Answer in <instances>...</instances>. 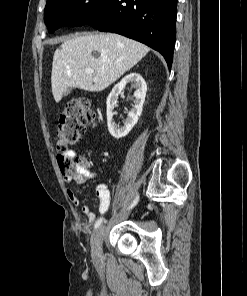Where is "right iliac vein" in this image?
<instances>
[{
  "label": "right iliac vein",
  "instance_id": "63e3f726",
  "mask_svg": "<svg viewBox=\"0 0 247 296\" xmlns=\"http://www.w3.org/2000/svg\"><path fill=\"white\" fill-rule=\"evenodd\" d=\"M105 234V226H100L91 239V254L94 259H99L102 255V242Z\"/></svg>",
  "mask_w": 247,
  "mask_h": 296
}]
</instances>
